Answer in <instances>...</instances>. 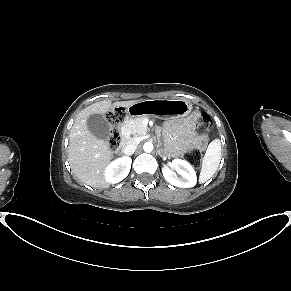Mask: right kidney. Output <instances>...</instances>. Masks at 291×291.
<instances>
[{
  "mask_svg": "<svg viewBox=\"0 0 291 291\" xmlns=\"http://www.w3.org/2000/svg\"><path fill=\"white\" fill-rule=\"evenodd\" d=\"M131 163L130 157H121L112 161L104 170L106 181L115 184L125 179L130 172Z\"/></svg>",
  "mask_w": 291,
  "mask_h": 291,
  "instance_id": "1",
  "label": "right kidney"
}]
</instances>
